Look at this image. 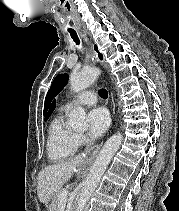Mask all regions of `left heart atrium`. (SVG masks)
Here are the masks:
<instances>
[{
    "instance_id": "39dd6f15",
    "label": "left heart atrium",
    "mask_w": 179,
    "mask_h": 211,
    "mask_svg": "<svg viewBox=\"0 0 179 211\" xmlns=\"http://www.w3.org/2000/svg\"><path fill=\"white\" fill-rule=\"evenodd\" d=\"M88 134L91 138L101 137L110 125V117L104 108H94L87 115Z\"/></svg>"
}]
</instances>
